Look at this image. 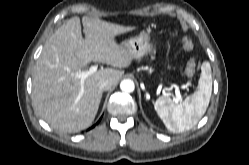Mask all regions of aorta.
Wrapping results in <instances>:
<instances>
[{"mask_svg":"<svg viewBox=\"0 0 249 165\" xmlns=\"http://www.w3.org/2000/svg\"><path fill=\"white\" fill-rule=\"evenodd\" d=\"M120 89L123 92L131 93L135 89L134 82L131 79H124L120 83Z\"/></svg>","mask_w":249,"mask_h":165,"instance_id":"aorta-1","label":"aorta"}]
</instances>
